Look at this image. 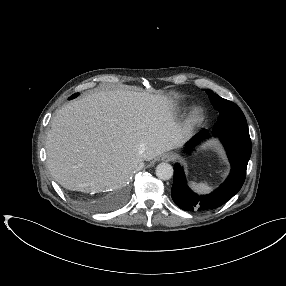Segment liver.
<instances>
[{"label":"liver","mask_w":286,"mask_h":286,"mask_svg":"<svg viewBox=\"0 0 286 286\" xmlns=\"http://www.w3.org/2000/svg\"><path fill=\"white\" fill-rule=\"evenodd\" d=\"M189 131L176 123L173 102L166 96L99 91L65 105L52 118L47 165L68 190H117L139 162L180 147Z\"/></svg>","instance_id":"6515ba94"}]
</instances>
